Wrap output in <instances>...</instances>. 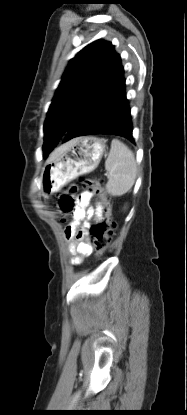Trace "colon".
I'll use <instances>...</instances> for the list:
<instances>
[{"mask_svg":"<svg viewBox=\"0 0 187 415\" xmlns=\"http://www.w3.org/2000/svg\"><path fill=\"white\" fill-rule=\"evenodd\" d=\"M82 185L90 189L103 204L102 217L93 223L89 234L93 240V250L96 256H102L111 244L116 229V222L112 218L111 204L101 183L94 179H82ZM77 187L72 186L66 193L62 194L59 200V207L63 213H70L77 205L75 193Z\"/></svg>","mask_w":187,"mask_h":415,"instance_id":"obj_1","label":"colon"}]
</instances>
